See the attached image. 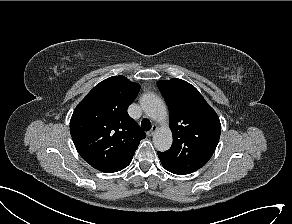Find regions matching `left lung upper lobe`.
Instances as JSON below:
<instances>
[{"mask_svg": "<svg viewBox=\"0 0 292 224\" xmlns=\"http://www.w3.org/2000/svg\"><path fill=\"white\" fill-rule=\"evenodd\" d=\"M157 86L170 112L173 143L158 152L162 165L183 174L204 166L218 144L221 124L218 115L199 91L182 79L160 80Z\"/></svg>", "mask_w": 292, "mask_h": 224, "instance_id": "1", "label": "left lung upper lobe"}]
</instances>
